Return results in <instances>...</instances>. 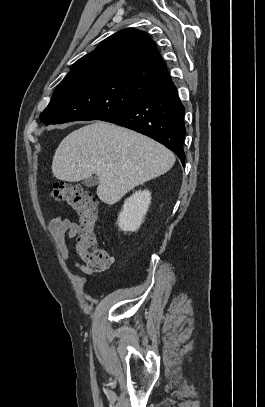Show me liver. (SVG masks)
Wrapping results in <instances>:
<instances>
[{"instance_id":"obj_1","label":"liver","mask_w":265,"mask_h":407,"mask_svg":"<svg viewBox=\"0 0 265 407\" xmlns=\"http://www.w3.org/2000/svg\"><path fill=\"white\" fill-rule=\"evenodd\" d=\"M174 154L155 140L104 121L67 135L55 151L52 172L58 180L78 182L95 174L97 196L109 205L146 181L169 171Z\"/></svg>"}]
</instances>
